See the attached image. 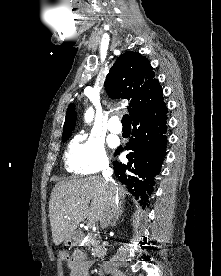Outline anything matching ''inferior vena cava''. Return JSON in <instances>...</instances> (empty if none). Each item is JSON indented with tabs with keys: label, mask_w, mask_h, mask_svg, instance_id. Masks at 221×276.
<instances>
[{
	"label": "inferior vena cava",
	"mask_w": 221,
	"mask_h": 276,
	"mask_svg": "<svg viewBox=\"0 0 221 276\" xmlns=\"http://www.w3.org/2000/svg\"><path fill=\"white\" fill-rule=\"evenodd\" d=\"M112 171L109 167L103 171V177L105 181L110 182L111 186L109 187V193L107 197L106 206L103 212V215L100 219V226L102 229L107 228L115 219L118 213V192L116 187L114 186V182L111 178Z\"/></svg>",
	"instance_id": "602c4592"
}]
</instances>
